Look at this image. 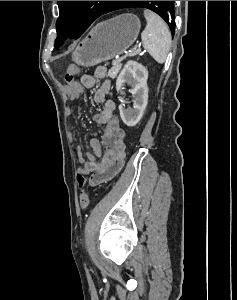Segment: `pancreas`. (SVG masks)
Instances as JSON below:
<instances>
[{"label": "pancreas", "mask_w": 237, "mask_h": 300, "mask_svg": "<svg viewBox=\"0 0 237 300\" xmlns=\"http://www.w3.org/2000/svg\"><path fill=\"white\" fill-rule=\"evenodd\" d=\"M121 67H122L121 63H120V66H118V67L113 65V67H111V69H109L108 77H111V79H114V77H116L117 73H119Z\"/></svg>", "instance_id": "pancreas-1"}]
</instances>
